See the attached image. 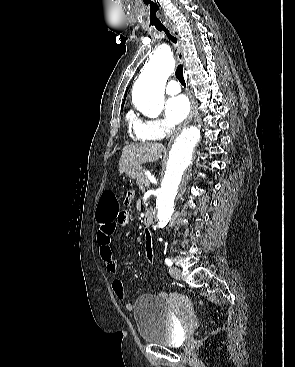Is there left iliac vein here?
I'll list each match as a JSON object with an SVG mask.
<instances>
[{
	"instance_id": "obj_1",
	"label": "left iliac vein",
	"mask_w": 295,
	"mask_h": 367,
	"mask_svg": "<svg viewBox=\"0 0 295 367\" xmlns=\"http://www.w3.org/2000/svg\"><path fill=\"white\" fill-rule=\"evenodd\" d=\"M169 273L171 274V276L177 280H180L182 277V273L181 270L179 268L176 267H171L169 269Z\"/></svg>"
}]
</instances>
